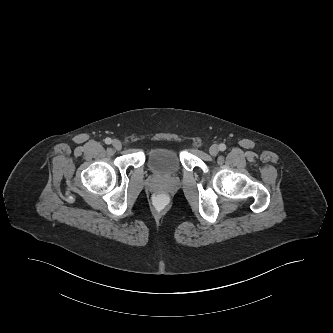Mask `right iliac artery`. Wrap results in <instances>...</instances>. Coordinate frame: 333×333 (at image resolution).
<instances>
[{"label":"right iliac artery","instance_id":"obj_1","mask_svg":"<svg viewBox=\"0 0 333 333\" xmlns=\"http://www.w3.org/2000/svg\"><path fill=\"white\" fill-rule=\"evenodd\" d=\"M111 142H112L111 138H106V139H105V143H106V144H111Z\"/></svg>","mask_w":333,"mask_h":333}]
</instances>
